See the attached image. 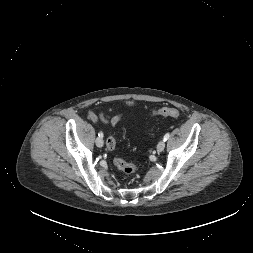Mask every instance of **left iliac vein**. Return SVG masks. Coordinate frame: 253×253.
<instances>
[{
	"label": "left iliac vein",
	"instance_id": "4c4485c4",
	"mask_svg": "<svg viewBox=\"0 0 253 253\" xmlns=\"http://www.w3.org/2000/svg\"><path fill=\"white\" fill-rule=\"evenodd\" d=\"M164 148H165V142L163 140L159 141V143L157 144V151L162 152Z\"/></svg>",
	"mask_w": 253,
	"mask_h": 253
}]
</instances>
